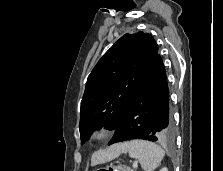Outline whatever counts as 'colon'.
I'll return each instance as SVG.
<instances>
[{"label": "colon", "instance_id": "colon-1", "mask_svg": "<svg viewBox=\"0 0 223 171\" xmlns=\"http://www.w3.org/2000/svg\"><path fill=\"white\" fill-rule=\"evenodd\" d=\"M97 171H131L124 165H109L98 169Z\"/></svg>", "mask_w": 223, "mask_h": 171}]
</instances>
